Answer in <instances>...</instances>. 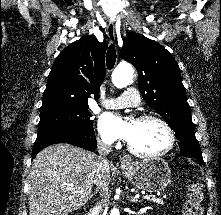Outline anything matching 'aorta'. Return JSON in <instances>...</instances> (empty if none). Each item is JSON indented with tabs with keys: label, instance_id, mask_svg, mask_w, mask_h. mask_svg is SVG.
Here are the masks:
<instances>
[{
	"label": "aorta",
	"instance_id": "762f6f07",
	"mask_svg": "<svg viewBox=\"0 0 221 215\" xmlns=\"http://www.w3.org/2000/svg\"><path fill=\"white\" fill-rule=\"evenodd\" d=\"M134 69L130 64L118 65L112 73V83L117 88L126 87L133 78ZM110 215H120L119 210L114 208Z\"/></svg>",
	"mask_w": 221,
	"mask_h": 215
}]
</instances>
